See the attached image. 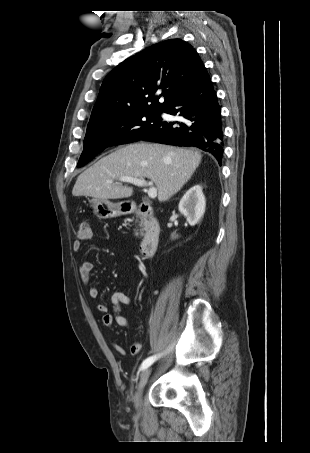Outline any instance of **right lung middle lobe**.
I'll return each instance as SVG.
<instances>
[{"mask_svg":"<svg viewBox=\"0 0 310 453\" xmlns=\"http://www.w3.org/2000/svg\"><path fill=\"white\" fill-rule=\"evenodd\" d=\"M161 112L162 110L135 111L88 125L84 149L77 166L87 164L109 146L140 140L162 120Z\"/></svg>","mask_w":310,"mask_h":453,"instance_id":"1","label":"right lung middle lobe"}]
</instances>
